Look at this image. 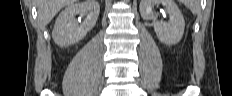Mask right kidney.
<instances>
[{"label": "right kidney", "mask_w": 232, "mask_h": 96, "mask_svg": "<svg viewBox=\"0 0 232 96\" xmlns=\"http://www.w3.org/2000/svg\"><path fill=\"white\" fill-rule=\"evenodd\" d=\"M100 6L96 0H86L82 3L68 5L57 17L52 31V37L58 46L65 47L82 40L91 30L99 16ZM86 15L78 26L75 16Z\"/></svg>", "instance_id": "1"}]
</instances>
